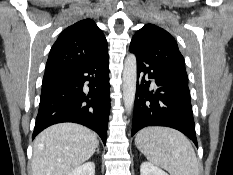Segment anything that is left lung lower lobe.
I'll return each instance as SVG.
<instances>
[{
  "label": "left lung lower lobe",
  "mask_w": 233,
  "mask_h": 175,
  "mask_svg": "<svg viewBox=\"0 0 233 175\" xmlns=\"http://www.w3.org/2000/svg\"><path fill=\"white\" fill-rule=\"evenodd\" d=\"M137 59V86L132 136L147 126H166L179 130L198 147L187 75L153 64L130 45ZM154 79L157 88H150Z\"/></svg>",
  "instance_id": "left-lung-lower-lobe-1"
}]
</instances>
